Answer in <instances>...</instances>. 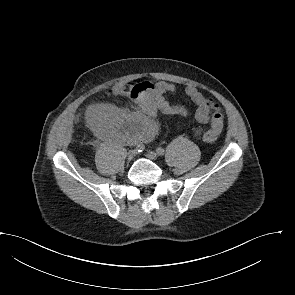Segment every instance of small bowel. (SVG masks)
<instances>
[{
    "mask_svg": "<svg viewBox=\"0 0 295 295\" xmlns=\"http://www.w3.org/2000/svg\"><path fill=\"white\" fill-rule=\"evenodd\" d=\"M175 91V86L165 81L124 83L116 86L113 93L128 97L136 105L135 111L121 110L110 104H96L88 108L86 118L90 126L104 138L119 143L148 141L157 132L154 117L158 111L183 116L188 114L184 106L172 105L166 100L165 96ZM185 93L196 105V121L200 125L210 122V128L206 132L218 136L223 129V117L221 113L214 117L217 106L214 100L204 96L194 86H187ZM200 132L199 129L198 133Z\"/></svg>",
    "mask_w": 295,
    "mask_h": 295,
    "instance_id": "1",
    "label": "small bowel"
}]
</instances>
